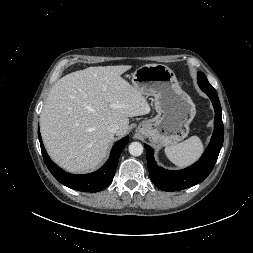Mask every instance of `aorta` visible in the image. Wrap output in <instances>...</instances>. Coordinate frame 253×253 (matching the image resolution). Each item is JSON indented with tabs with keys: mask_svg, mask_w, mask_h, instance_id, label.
Segmentation results:
<instances>
[{
	"mask_svg": "<svg viewBox=\"0 0 253 253\" xmlns=\"http://www.w3.org/2000/svg\"><path fill=\"white\" fill-rule=\"evenodd\" d=\"M129 153L132 156H140L143 153V145L140 142H132L129 145Z\"/></svg>",
	"mask_w": 253,
	"mask_h": 253,
	"instance_id": "1",
	"label": "aorta"
}]
</instances>
